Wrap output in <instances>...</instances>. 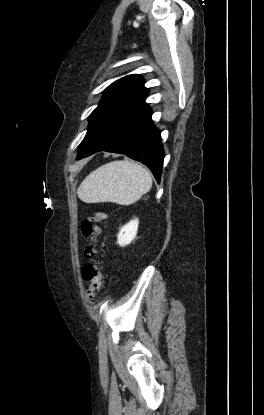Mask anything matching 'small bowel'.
I'll use <instances>...</instances> for the list:
<instances>
[{"label":"small bowel","instance_id":"small-bowel-1","mask_svg":"<svg viewBox=\"0 0 264 415\" xmlns=\"http://www.w3.org/2000/svg\"><path fill=\"white\" fill-rule=\"evenodd\" d=\"M94 231H95V234H99L100 233V228L95 227Z\"/></svg>","mask_w":264,"mask_h":415}]
</instances>
